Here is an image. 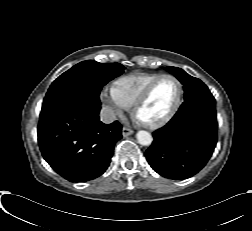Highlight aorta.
<instances>
[{"label": "aorta", "mask_w": 252, "mask_h": 231, "mask_svg": "<svg viewBox=\"0 0 252 231\" xmlns=\"http://www.w3.org/2000/svg\"><path fill=\"white\" fill-rule=\"evenodd\" d=\"M136 138L138 143L143 146H149L153 141L152 135L144 130L138 131L136 134Z\"/></svg>", "instance_id": "obj_1"}]
</instances>
